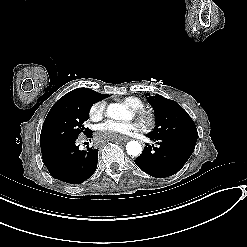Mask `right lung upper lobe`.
<instances>
[{
    "label": "right lung upper lobe",
    "instance_id": "right-lung-upper-lobe-1",
    "mask_svg": "<svg viewBox=\"0 0 247 247\" xmlns=\"http://www.w3.org/2000/svg\"><path fill=\"white\" fill-rule=\"evenodd\" d=\"M83 89H88V88H83ZM88 90H90L92 92V94H93L94 98L97 100V102L110 96V95H107V94H100L98 92H95L92 89H88Z\"/></svg>",
    "mask_w": 247,
    "mask_h": 247
}]
</instances>
